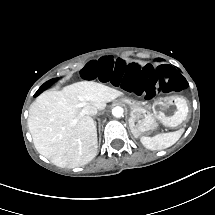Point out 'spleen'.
Instances as JSON below:
<instances>
[{"label":"spleen","instance_id":"spleen-1","mask_svg":"<svg viewBox=\"0 0 215 215\" xmlns=\"http://www.w3.org/2000/svg\"><path fill=\"white\" fill-rule=\"evenodd\" d=\"M182 133V129H179L177 131L158 133L152 137L142 135L140 141L149 150H162L174 145L180 139Z\"/></svg>","mask_w":215,"mask_h":215}]
</instances>
